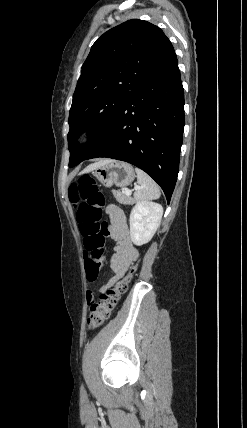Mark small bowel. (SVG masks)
Listing matches in <instances>:
<instances>
[{
    "instance_id": "c3829d8e",
    "label": "small bowel",
    "mask_w": 247,
    "mask_h": 428,
    "mask_svg": "<svg viewBox=\"0 0 247 428\" xmlns=\"http://www.w3.org/2000/svg\"><path fill=\"white\" fill-rule=\"evenodd\" d=\"M107 212L110 216V225L107 227V234L113 239L116 244L114 253L112 254L109 266L113 272V276L100 288L101 292L112 287L124 274L129 267L138 259L139 252L134 246L129 228L126 224L123 212L116 206H109ZM88 300H92L91 291L87 293Z\"/></svg>"
}]
</instances>
